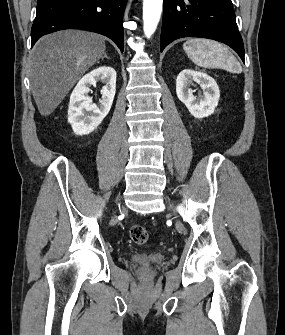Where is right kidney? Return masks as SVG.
Masks as SVG:
<instances>
[{
	"label": "right kidney",
	"instance_id": "right-kidney-1",
	"mask_svg": "<svg viewBox=\"0 0 285 335\" xmlns=\"http://www.w3.org/2000/svg\"><path fill=\"white\" fill-rule=\"evenodd\" d=\"M104 82L101 90L102 100L99 106L93 104L89 98L90 86H96V82ZM116 92V72L110 66H101L92 70L79 80L75 86L68 106V122L77 136L90 134L98 128L102 120L110 112Z\"/></svg>",
	"mask_w": 285,
	"mask_h": 335
}]
</instances>
